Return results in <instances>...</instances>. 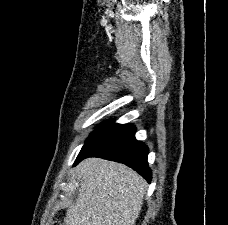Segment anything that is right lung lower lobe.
Instances as JSON below:
<instances>
[{
	"label": "right lung lower lobe",
	"mask_w": 228,
	"mask_h": 225,
	"mask_svg": "<svg viewBox=\"0 0 228 225\" xmlns=\"http://www.w3.org/2000/svg\"><path fill=\"white\" fill-rule=\"evenodd\" d=\"M135 131L130 124H102L87 139L74 166L85 158L101 157L128 165L150 183L152 173L147 162L148 147L135 139Z\"/></svg>",
	"instance_id": "98d812e1"
}]
</instances>
